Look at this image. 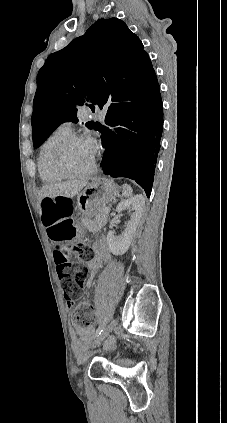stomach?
<instances>
[{"label":"stomach","instance_id":"stomach-1","mask_svg":"<svg viewBox=\"0 0 227 423\" xmlns=\"http://www.w3.org/2000/svg\"><path fill=\"white\" fill-rule=\"evenodd\" d=\"M119 194L118 186L113 184L112 180L105 178H96L77 196V208L81 213H86L88 217L96 213L99 206L110 204Z\"/></svg>","mask_w":227,"mask_h":423}]
</instances>
